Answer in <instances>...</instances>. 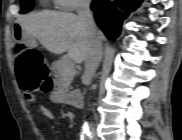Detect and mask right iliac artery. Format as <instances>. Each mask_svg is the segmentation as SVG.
<instances>
[{
	"instance_id": "right-iliac-artery-1",
	"label": "right iliac artery",
	"mask_w": 182,
	"mask_h": 140,
	"mask_svg": "<svg viewBox=\"0 0 182 140\" xmlns=\"http://www.w3.org/2000/svg\"><path fill=\"white\" fill-rule=\"evenodd\" d=\"M86 139H88V140H92L93 138H92V137H89V138H86Z\"/></svg>"
}]
</instances>
